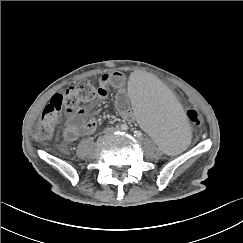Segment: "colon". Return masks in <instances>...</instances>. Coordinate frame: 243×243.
I'll use <instances>...</instances> for the list:
<instances>
[{
  "mask_svg": "<svg viewBox=\"0 0 243 243\" xmlns=\"http://www.w3.org/2000/svg\"><path fill=\"white\" fill-rule=\"evenodd\" d=\"M98 87L89 81H80L63 92L55 94L44 107L40 121L36 128V134L41 139H48L54 132L58 116L62 111L77 110L80 105L97 99ZM187 116L194 125H201L203 117L195 107L187 108Z\"/></svg>",
  "mask_w": 243,
  "mask_h": 243,
  "instance_id": "colon-1",
  "label": "colon"
}]
</instances>
